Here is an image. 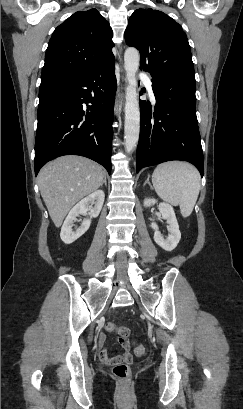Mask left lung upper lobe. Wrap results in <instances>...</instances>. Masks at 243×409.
Segmentation results:
<instances>
[{
  "mask_svg": "<svg viewBox=\"0 0 243 409\" xmlns=\"http://www.w3.org/2000/svg\"><path fill=\"white\" fill-rule=\"evenodd\" d=\"M125 40L128 46L139 50L141 69L150 72L152 77L172 70L194 71L185 32L163 12L151 8L134 11Z\"/></svg>",
  "mask_w": 243,
  "mask_h": 409,
  "instance_id": "5c2ea615",
  "label": "left lung upper lobe"
}]
</instances>
